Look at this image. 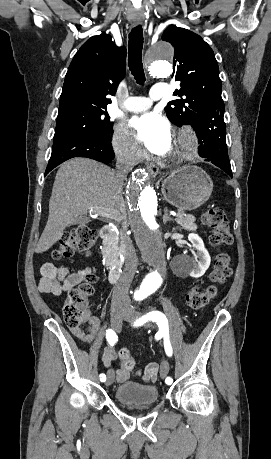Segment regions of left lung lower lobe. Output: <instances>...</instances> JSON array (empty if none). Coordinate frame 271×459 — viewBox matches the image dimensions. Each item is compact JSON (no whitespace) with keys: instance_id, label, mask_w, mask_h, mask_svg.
<instances>
[{"instance_id":"left-lung-lower-lobe-1","label":"left lung lower lobe","mask_w":271,"mask_h":459,"mask_svg":"<svg viewBox=\"0 0 271 459\" xmlns=\"http://www.w3.org/2000/svg\"><path fill=\"white\" fill-rule=\"evenodd\" d=\"M199 139L198 153L205 161L212 162L233 177L226 145V125L217 117L196 129Z\"/></svg>"}]
</instances>
